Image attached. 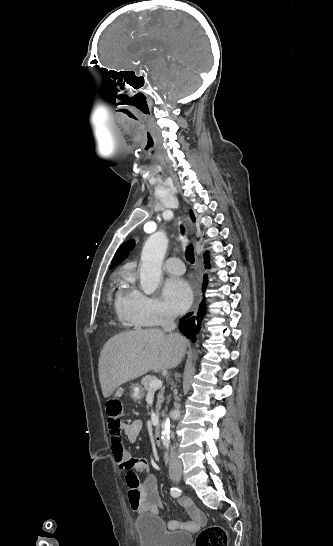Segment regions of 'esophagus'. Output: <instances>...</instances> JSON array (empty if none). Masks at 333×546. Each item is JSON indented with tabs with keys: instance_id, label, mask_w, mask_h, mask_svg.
<instances>
[{
	"instance_id": "esophagus-1",
	"label": "esophagus",
	"mask_w": 333,
	"mask_h": 546,
	"mask_svg": "<svg viewBox=\"0 0 333 546\" xmlns=\"http://www.w3.org/2000/svg\"><path fill=\"white\" fill-rule=\"evenodd\" d=\"M198 304H199V297H198V295L196 294V297H195V305H194V307H197Z\"/></svg>"
}]
</instances>
